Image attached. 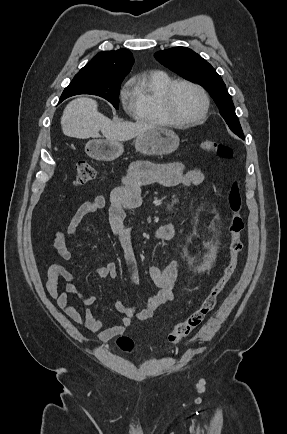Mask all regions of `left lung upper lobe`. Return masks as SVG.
I'll return each mask as SVG.
<instances>
[{"instance_id":"1","label":"left lung upper lobe","mask_w":287,"mask_h":434,"mask_svg":"<svg viewBox=\"0 0 287 434\" xmlns=\"http://www.w3.org/2000/svg\"><path fill=\"white\" fill-rule=\"evenodd\" d=\"M154 56L161 64L181 77L204 87L219 107L220 114L229 128L239 137L244 138L232 98L221 76L205 59L187 47L158 51Z\"/></svg>"}]
</instances>
